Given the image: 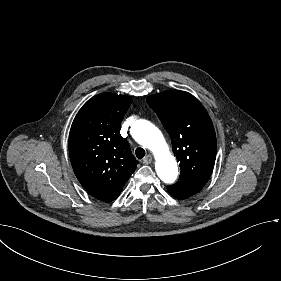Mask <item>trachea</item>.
<instances>
[{
    "label": "trachea",
    "instance_id": "trachea-1",
    "mask_svg": "<svg viewBox=\"0 0 281 281\" xmlns=\"http://www.w3.org/2000/svg\"><path fill=\"white\" fill-rule=\"evenodd\" d=\"M135 155L138 159H142L145 156V150L143 148H137L135 150Z\"/></svg>",
    "mask_w": 281,
    "mask_h": 281
}]
</instances>
